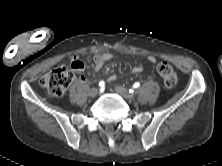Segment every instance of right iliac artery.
Returning a JSON list of instances; mask_svg holds the SVG:
<instances>
[{
    "label": "right iliac artery",
    "instance_id": "obj_1",
    "mask_svg": "<svg viewBox=\"0 0 222 166\" xmlns=\"http://www.w3.org/2000/svg\"><path fill=\"white\" fill-rule=\"evenodd\" d=\"M104 85H105L104 81H100V82H99V86H100L101 88H103Z\"/></svg>",
    "mask_w": 222,
    "mask_h": 166
}]
</instances>
